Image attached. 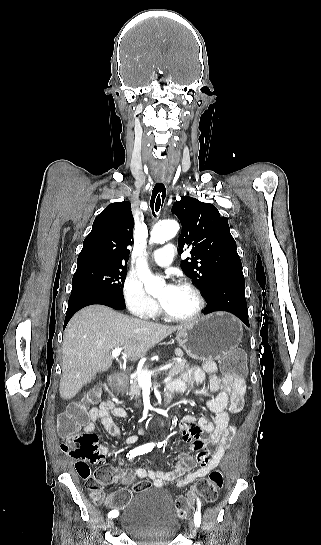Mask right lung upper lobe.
I'll list each match as a JSON object with an SVG mask.
<instances>
[{"label":"right lung upper lobe","mask_w":321,"mask_h":545,"mask_svg":"<svg viewBox=\"0 0 321 545\" xmlns=\"http://www.w3.org/2000/svg\"><path fill=\"white\" fill-rule=\"evenodd\" d=\"M134 218L130 202L111 203L94 220L83 242L77 268L88 265L126 266L133 240Z\"/></svg>","instance_id":"obj_1"}]
</instances>
